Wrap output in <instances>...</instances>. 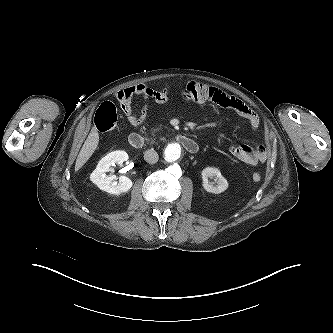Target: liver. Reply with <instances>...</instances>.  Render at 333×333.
<instances>
[{"label": "liver", "mask_w": 333, "mask_h": 333, "mask_svg": "<svg viewBox=\"0 0 333 333\" xmlns=\"http://www.w3.org/2000/svg\"><path fill=\"white\" fill-rule=\"evenodd\" d=\"M99 143V134L95 127L91 129L84 142L75 163V171H78L92 156Z\"/></svg>", "instance_id": "6515ba94"}]
</instances>
